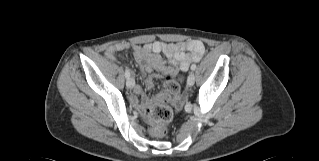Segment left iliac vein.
<instances>
[{"label":"left iliac vein","mask_w":319,"mask_h":161,"mask_svg":"<svg viewBox=\"0 0 319 161\" xmlns=\"http://www.w3.org/2000/svg\"><path fill=\"white\" fill-rule=\"evenodd\" d=\"M194 82H195V75L193 72H191L189 75H188V78H187V85L189 87H192L194 85Z\"/></svg>","instance_id":"left-iliac-vein-1"}]
</instances>
